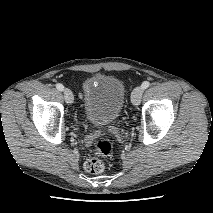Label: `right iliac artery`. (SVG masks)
Here are the masks:
<instances>
[{"label": "right iliac artery", "instance_id": "obj_1", "mask_svg": "<svg viewBox=\"0 0 213 213\" xmlns=\"http://www.w3.org/2000/svg\"><path fill=\"white\" fill-rule=\"evenodd\" d=\"M56 88H57L59 91H63V90H64V86H63L61 83H57V84H56Z\"/></svg>", "mask_w": 213, "mask_h": 213}]
</instances>
